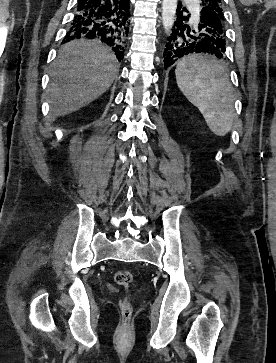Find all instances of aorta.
Returning a JSON list of instances; mask_svg holds the SVG:
<instances>
[{
  "instance_id": "1",
  "label": "aorta",
  "mask_w": 276,
  "mask_h": 363,
  "mask_svg": "<svg viewBox=\"0 0 276 363\" xmlns=\"http://www.w3.org/2000/svg\"><path fill=\"white\" fill-rule=\"evenodd\" d=\"M178 0H163L162 23L166 33H169L175 22Z\"/></svg>"
}]
</instances>
